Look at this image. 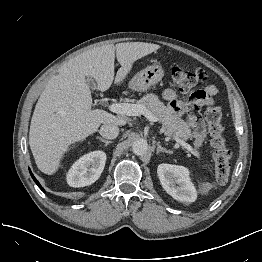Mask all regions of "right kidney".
I'll use <instances>...</instances> for the list:
<instances>
[{
	"label": "right kidney",
	"instance_id": "right-kidney-1",
	"mask_svg": "<svg viewBox=\"0 0 262 262\" xmlns=\"http://www.w3.org/2000/svg\"><path fill=\"white\" fill-rule=\"evenodd\" d=\"M106 163L103 151H93L83 155L67 173V183L71 187H84L94 183L101 175Z\"/></svg>",
	"mask_w": 262,
	"mask_h": 262
}]
</instances>
